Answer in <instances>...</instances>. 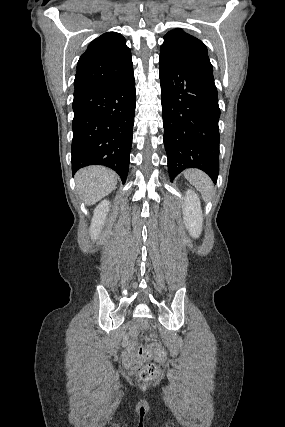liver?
Here are the masks:
<instances>
[{"label":"liver","instance_id":"1","mask_svg":"<svg viewBox=\"0 0 285 427\" xmlns=\"http://www.w3.org/2000/svg\"><path fill=\"white\" fill-rule=\"evenodd\" d=\"M80 198L90 206L111 193L117 184V174L103 166H89L75 175Z\"/></svg>","mask_w":285,"mask_h":427}]
</instances>
